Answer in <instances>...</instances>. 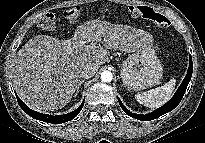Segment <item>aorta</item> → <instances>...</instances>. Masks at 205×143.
Masks as SVG:
<instances>
[{
	"label": "aorta",
	"mask_w": 205,
	"mask_h": 143,
	"mask_svg": "<svg viewBox=\"0 0 205 143\" xmlns=\"http://www.w3.org/2000/svg\"><path fill=\"white\" fill-rule=\"evenodd\" d=\"M113 79V75L110 71H103L101 73V80L103 82H110Z\"/></svg>",
	"instance_id": "aorta-1"
}]
</instances>
